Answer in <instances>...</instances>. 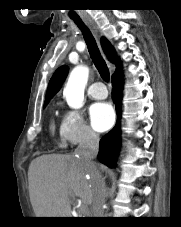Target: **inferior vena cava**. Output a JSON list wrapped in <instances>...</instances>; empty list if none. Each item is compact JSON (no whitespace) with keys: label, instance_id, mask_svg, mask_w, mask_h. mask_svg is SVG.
Instances as JSON below:
<instances>
[{"label":"inferior vena cava","instance_id":"602c4592","mask_svg":"<svg viewBox=\"0 0 181 227\" xmlns=\"http://www.w3.org/2000/svg\"><path fill=\"white\" fill-rule=\"evenodd\" d=\"M99 149V136L91 129H88L84 140L78 145L75 154L89 168L93 170V217H104V205L106 198V185L100 172L97 170L93 159L97 156Z\"/></svg>","mask_w":181,"mask_h":227}]
</instances>
